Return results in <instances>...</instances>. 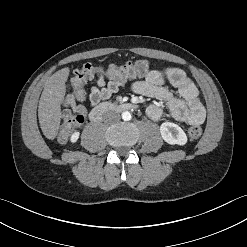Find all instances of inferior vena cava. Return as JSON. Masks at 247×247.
I'll list each match as a JSON object with an SVG mask.
<instances>
[{"label":"inferior vena cava","mask_w":247,"mask_h":247,"mask_svg":"<svg viewBox=\"0 0 247 247\" xmlns=\"http://www.w3.org/2000/svg\"><path fill=\"white\" fill-rule=\"evenodd\" d=\"M104 119L107 121H118L120 119V114L117 112H107L104 115Z\"/></svg>","instance_id":"1"}]
</instances>
